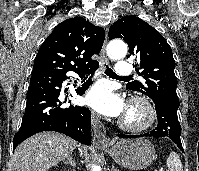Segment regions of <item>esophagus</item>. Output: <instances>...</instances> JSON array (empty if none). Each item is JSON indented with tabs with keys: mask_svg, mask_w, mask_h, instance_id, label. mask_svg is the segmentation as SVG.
I'll list each match as a JSON object with an SVG mask.
<instances>
[{
	"mask_svg": "<svg viewBox=\"0 0 199 171\" xmlns=\"http://www.w3.org/2000/svg\"><path fill=\"white\" fill-rule=\"evenodd\" d=\"M106 43H107V36L104 41L102 50L100 52V65L101 68L105 67V64L108 62V58L106 55ZM91 123L93 127L94 137H93V144L98 148L107 147L110 144L109 138L106 136V129L102 122L95 116L92 115Z\"/></svg>",
	"mask_w": 199,
	"mask_h": 171,
	"instance_id": "obj_1",
	"label": "esophagus"
}]
</instances>
